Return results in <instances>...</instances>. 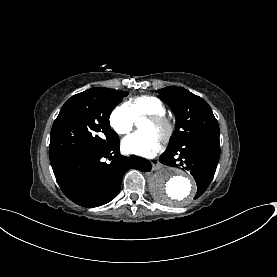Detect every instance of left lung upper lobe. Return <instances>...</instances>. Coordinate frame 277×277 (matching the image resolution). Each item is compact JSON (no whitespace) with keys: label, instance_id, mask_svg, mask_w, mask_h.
Here are the masks:
<instances>
[{"label":"left lung upper lobe","instance_id":"obj_1","mask_svg":"<svg viewBox=\"0 0 277 277\" xmlns=\"http://www.w3.org/2000/svg\"><path fill=\"white\" fill-rule=\"evenodd\" d=\"M157 92L176 116V130L168 148H177L193 137L219 133L218 122L208 103L201 97L176 86L165 87Z\"/></svg>","mask_w":277,"mask_h":277}]
</instances>
